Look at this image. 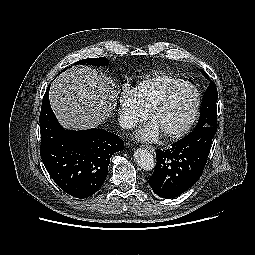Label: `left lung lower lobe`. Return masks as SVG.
<instances>
[{
	"label": "left lung lower lobe",
	"instance_id": "0a47b994",
	"mask_svg": "<svg viewBox=\"0 0 255 255\" xmlns=\"http://www.w3.org/2000/svg\"><path fill=\"white\" fill-rule=\"evenodd\" d=\"M216 127L195 129L172 148L158 151L157 163L149 184L158 196L175 198L200 178L211 149Z\"/></svg>",
	"mask_w": 255,
	"mask_h": 255
}]
</instances>
